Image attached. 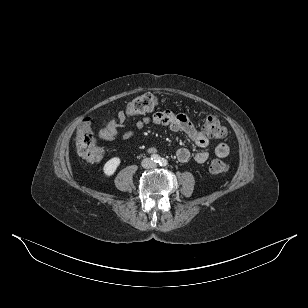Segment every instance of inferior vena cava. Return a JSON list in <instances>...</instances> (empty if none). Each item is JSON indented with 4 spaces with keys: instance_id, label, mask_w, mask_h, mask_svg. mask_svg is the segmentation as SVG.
Instances as JSON below:
<instances>
[{
    "instance_id": "602c4592",
    "label": "inferior vena cava",
    "mask_w": 308,
    "mask_h": 308,
    "mask_svg": "<svg viewBox=\"0 0 308 308\" xmlns=\"http://www.w3.org/2000/svg\"><path fill=\"white\" fill-rule=\"evenodd\" d=\"M142 166L147 169L154 168L156 167V163L150 158H145L142 161Z\"/></svg>"
}]
</instances>
